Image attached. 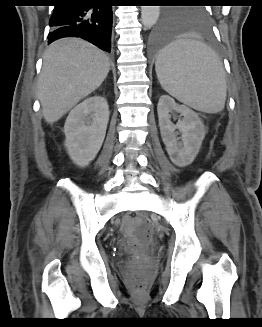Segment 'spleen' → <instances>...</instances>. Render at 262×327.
Here are the masks:
<instances>
[{"instance_id": "3e777b00", "label": "spleen", "mask_w": 262, "mask_h": 327, "mask_svg": "<svg viewBox=\"0 0 262 327\" xmlns=\"http://www.w3.org/2000/svg\"><path fill=\"white\" fill-rule=\"evenodd\" d=\"M155 70L162 88L182 103L205 113L223 110L227 95L223 63L204 43L172 42L158 54Z\"/></svg>"}]
</instances>
